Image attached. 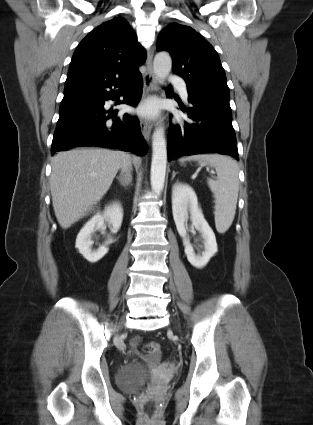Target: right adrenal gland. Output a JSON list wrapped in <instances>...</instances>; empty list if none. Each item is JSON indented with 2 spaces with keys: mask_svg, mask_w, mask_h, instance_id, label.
Here are the masks:
<instances>
[{
  "mask_svg": "<svg viewBox=\"0 0 313 425\" xmlns=\"http://www.w3.org/2000/svg\"><path fill=\"white\" fill-rule=\"evenodd\" d=\"M117 178V180L119 181V183H120V185L121 186H123V187H125L126 185H128L129 184V182H131V176H129V177H127V176H119V177H116Z\"/></svg>",
  "mask_w": 313,
  "mask_h": 425,
  "instance_id": "1",
  "label": "right adrenal gland"
}]
</instances>
